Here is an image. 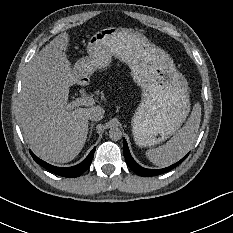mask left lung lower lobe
<instances>
[{
  "label": "left lung lower lobe",
  "instance_id": "0a47b994",
  "mask_svg": "<svg viewBox=\"0 0 233 233\" xmlns=\"http://www.w3.org/2000/svg\"><path fill=\"white\" fill-rule=\"evenodd\" d=\"M123 152H124V156H125V160L128 164V166L138 175L140 176H156V175H160L163 174L165 172H168L170 170H172L173 168H175L177 165H179L187 156L188 154L182 158L180 161H178L177 163L167 167V168H163V169H157V170H152V169H146V168H142L141 166H139L134 159L132 158L129 149H128V145L125 139H123Z\"/></svg>",
  "mask_w": 233,
  "mask_h": 233
}]
</instances>
